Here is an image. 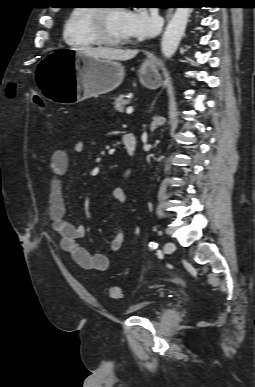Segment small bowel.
Here are the masks:
<instances>
[{
    "mask_svg": "<svg viewBox=\"0 0 255 387\" xmlns=\"http://www.w3.org/2000/svg\"><path fill=\"white\" fill-rule=\"evenodd\" d=\"M84 144L81 141L74 143V154L84 152ZM70 154L66 149H58L53 152L49 162L50 173L48 175L49 189V218L52 229L59 237L60 247L71 255L72 259L85 270L105 271L109 266V256L104 253L92 254L82 247L78 240L85 234V228L81 224H75L65 219L66 205L63 195V183L61 177L66 174L69 166ZM111 198L118 203H124L126 196L121 187H115L111 191ZM125 240L124 231L119 229L110 242V253L120 250Z\"/></svg>",
    "mask_w": 255,
    "mask_h": 387,
    "instance_id": "c3829d8e",
    "label": "small bowel"
}]
</instances>
